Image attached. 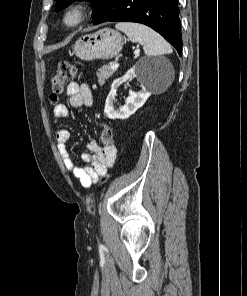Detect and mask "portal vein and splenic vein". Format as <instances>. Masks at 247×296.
Here are the masks:
<instances>
[{
	"label": "portal vein and splenic vein",
	"mask_w": 247,
	"mask_h": 296,
	"mask_svg": "<svg viewBox=\"0 0 247 296\" xmlns=\"http://www.w3.org/2000/svg\"><path fill=\"white\" fill-rule=\"evenodd\" d=\"M110 66H111V69H116L119 67V63H118V61H115V62L111 63Z\"/></svg>",
	"instance_id": "portal-vein-and-splenic-vein-1"
}]
</instances>
